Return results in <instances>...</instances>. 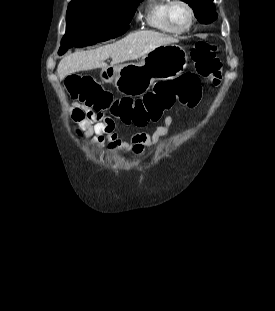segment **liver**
I'll return each mask as SVG.
<instances>
[{"label":"liver","mask_w":275,"mask_h":311,"mask_svg":"<svg viewBox=\"0 0 275 311\" xmlns=\"http://www.w3.org/2000/svg\"><path fill=\"white\" fill-rule=\"evenodd\" d=\"M177 40L155 31H137L128 34L116 43L90 51H81L65 56L57 67L60 80L69 74L96 68H107L105 60L111 58V66L136 60L161 45Z\"/></svg>","instance_id":"6515ba94"}]
</instances>
